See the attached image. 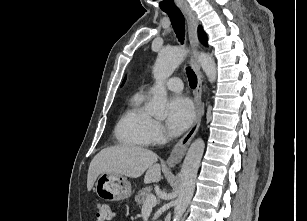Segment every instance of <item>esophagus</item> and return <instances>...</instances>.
Wrapping results in <instances>:
<instances>
[{
	"label": "esophagus",
	"instance_id": "1",
	"mask_svg": "<svg viewBox=\"0 0 307 221\" xmlns=\"http://www.w3.org/2000/svg\"><path fill=\"white\" fill-rule=\"evenodd\" d=\"M181 10L187 21L189 41L194 53L192 58V65L197 75V86L194 90L195 118L191 128L180 139V141L172 150L170 156L167 158L166 162L170 167H174L182 161L192 139L199 129L201 119L204 115V104L201 99L203 75L201 73L200 64L196 56V51L199 48V40L197 35L198 19L195 12L188 4L183 5Z\"/></svg>",
	"mask_w": 307,
	"mask_h": 221
}]
</instances>
